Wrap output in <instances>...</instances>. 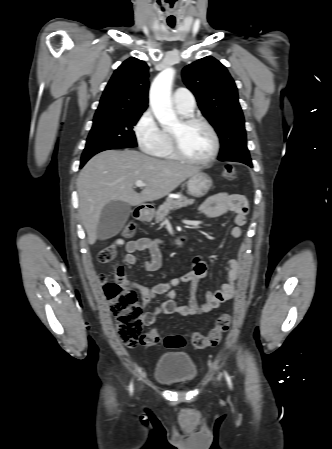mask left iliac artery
Returning <instances> with one entry per match:
<instances>
[{"label":"left iliac artery","mask_w":332,"mask_h":449,"mask_svg":"<svg viewBox=\"0 0 332 449\" xmlns=\"http://www.w3.org/2000/svg\"><path fill=\"white\" fill-rule=\"evenodd\" d=\"M224 373H225V377H226L229 387L232 388V382H231L230 376L227 374V372H224Z\"/></svg>","instance_id":"1"}]
</instances>
